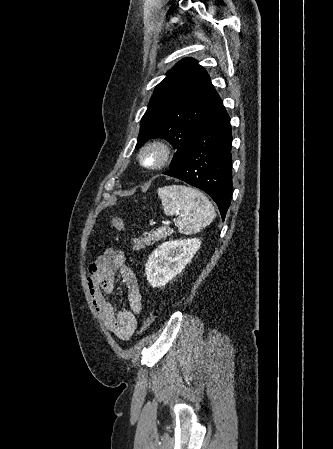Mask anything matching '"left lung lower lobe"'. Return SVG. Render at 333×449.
<instances>
[{
  "instance_id": "obj_1",
  "label": "left lung lower lobe",
  "mask_w": 333,
  "mask_h": 449,
  "mask_svg": "<svg viewBox=\"0 0 333 449\" xmlns=\"http://www.w3.org/2000/svg\"><path fill=\"white\" fill-rule=\"evenodd\" d=\"M232 132L220 97L200 125L183 163L164 174L205 191L218 205L224 220L231 201Z\"/></svg>"
}]
</instances>
